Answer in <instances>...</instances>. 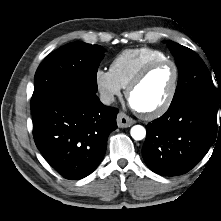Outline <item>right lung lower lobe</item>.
Listing matches in <instances>:
<instances>
[{
  "instance_id": "98d812e1",
  "label": "right lung lower lobe",
  "mask_w": 221,
  "mask_h": 221,
  "mask_svg": "<svg viewBox=\"0 0 221 221\" xmlns=\"http://www.w3.org/2000/svg\"><path fill=\"white\" fill-rule=\"evenodd\" d=\"M117 113L103 105L96 93L77 87L61 89L32 111L35 144L62 177L80 180L104 157L107 138L117 128Z\"/></svg>"
}]
</instances>
